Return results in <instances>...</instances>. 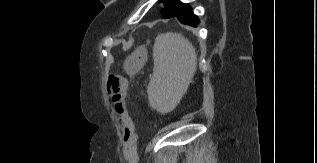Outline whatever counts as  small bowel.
I'll return each instance as SVG.
<instances>
[{
    "label": "small bowel",
    "mask_w": 317,
    "mask_h": 163,
    "mask_svg": "<svg viewBox=\"0 0 317 163\" xmlns=\"http://www.w3.org/2000/svg\"><path fill=\"white\" fill-rule=\"evenodd\" d=\"M116 113L118 116V119L120 121V124L125 132V144H126V152L127 157H132V152L135 147V141H136V135L133 131V121L128 113V111L125 109V107L122 105H116Z\"/></svg>",
    "instance_id": "c3829d8e"
}]
</instances>
